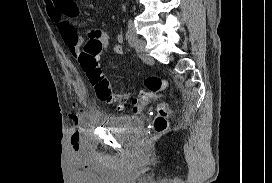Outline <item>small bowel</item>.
I'll return each mask as SVG.
<instances>
[{
	"instance_id": "small-bowel-1",
	"label": "small bowel",
	"mask_w": 272,
	"mask_h": 183,
	"mask_svg": "<svg viewBox=\"0 0 272 183\" xmlns=\"http://www.w3.org/2000/svg\"><path fill=\"white\" fill-rule=\"evenodd\" d=\"M49 18L58 25V29L70 53L78 57L84 38L78 34L75 27L65 17H73L78 13L74 0H43ZM93 8L92 5L89 6ZM89 40L99 41L104 48L113 54L120 55L123 50L119 44L123 40L122 34H118L116 40L118 44H112L109 34L102 29H90L87 32Z\"/></svg>"
}]
</instances>
